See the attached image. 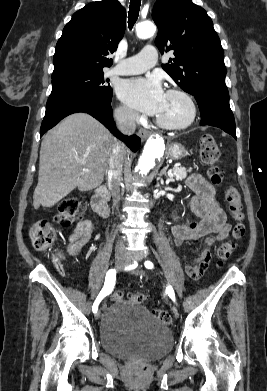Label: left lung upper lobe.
<instances>
[{"mask_svg":"<svg viewBox=\"0 0 267 391\" xmlns=\"http://www.w3.org/2000/svg\"><path fill=\"white\" fill-rule=\"evenodd\" d=\"M152 18L158 27L155 44L161 54L174 52L162 68L187 93L228 91L220 39L206 11L191 0H157Z\"/></svg>","mask_w":267,"mask_h":391,"instance_id":"left-lung-upper-lobe-1","label":"left lung upper lobe"}]
</instances>
